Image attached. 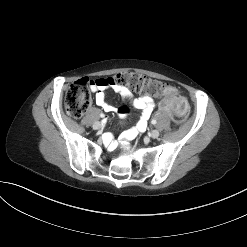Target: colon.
<instances>
[{
	"label": "colon",
	"mask_w": 247,
	"mask_h": 247,
	"mask_svg": "<svg viewBox=\"0 0 247 247\" xmlns=\"http://www.w3.org/2000/svg\"><path fill=\"white\" fill-rule=\"evenodd\" d=\"M110 83L119 84L133 89L138 93L158 95L164 93L161 106L176 112L178 116H184L187 112V104L177 90L168 87L167 84L156 79L137 73H123L108 79ZM100 80L82 78L75 81L69 87L65 97L67 113L73 118L81 117L90 105V89L94 84H100ZM128 112L126 106L121 107L120 113Z\"/></svg>",
	"instance_id": "colon-1"
}]
</instances>
